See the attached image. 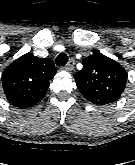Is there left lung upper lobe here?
<instances>
[{
    "label": "left lung upper lobe",
    "instance_id": "5c2ea615",
    "mask_svg": "<svg viewBox=\"0 0 135 165\" xmlns=\"http://www.w3.org/2000/svg\"><path fill=\"white\" fill-rule=\"evenodd\" d=\"M82 95L92 103L109 104L122 94L127 73L118 62L96 52L83 60V68L75 75Z\"/></svg>",
    "mask_w": 135,
    "mask_h": 165
}]
</instances>
